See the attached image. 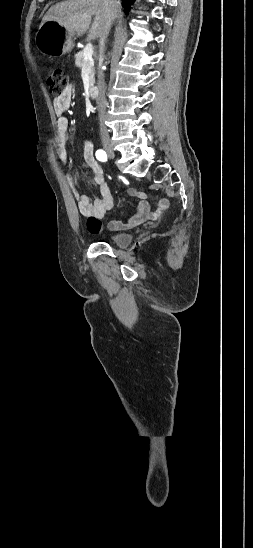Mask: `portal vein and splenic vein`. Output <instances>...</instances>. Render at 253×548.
Returning a JSON list of instances; mask_svg holds the SVG:
<instances>
[{
	"instance_id": "18ae733b",
	"label": "portal vein and splenic vein",
	"mask_w": 253,
	"mask_h": 548,
	"mask_svg": "<svg viewBox=\"0 0 253 548\" xmlns=\"http://www.w3.org/2000/svg\"><path fill=\"white\" fill-rule=\"evenodd\" d=\"M92 54H93V46L92 44L89 43L86 45V47L83 50L84 61L91 59Z\"/></svg>"
}]
</instances>
